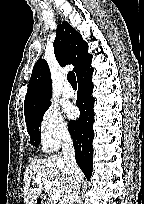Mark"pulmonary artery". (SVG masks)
Listing matches in <instances>:
<instances>
[{"label": "pulmonary artery", "instance_id": "e3ab8cb5", "mask_svg": "<svg viewBox=\"0 0 144 204\" xmlns=\"http://www.w3.org/2000/svg\"><path fill=\"white\" fill-rule=\"evenodd\" d=\"M62 94L64 97L66 98H71L74 95V90L73 88L70 86L69 83H65L63 90H62Z\"/></svg>", "mask_w": 144, "mask_h": 204}]
</instances>
